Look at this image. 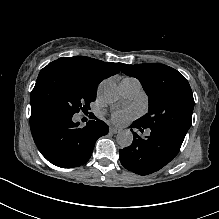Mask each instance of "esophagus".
Instances as JSON below:
<instances>
[{"mask_svg":"<svg viewBox=\"0 0 219 219\" xmlns=\"http://www.w3.org/2000/svg\"><path fill=\"white\" fill-rule=\"evenodd\" d=\"M110 132L112 133V134H117V133H119L120 132V129L119 128H117V127H110Z\"/></svg>","mask_w":219,"mask_h":219,"instance_id":"34e87169","label":"esophagus"}]
</instances>
